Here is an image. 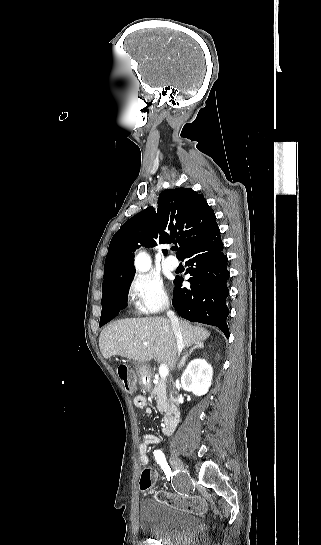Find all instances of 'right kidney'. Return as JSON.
I'll list each match as a JSON object with an SVG mask.
<instances>
[{"mask_svg":"<svg viewBox=\"0 0 321 545\" xmlns=\"http://www.w3.org/2000/svg\"><path fill=\"white\" fill-rule=\"evenodd\" d=\"M213 369L205 359H194L189 363L181 377V385L184 391L194 393L197 397L206 395L212 383Z\"/></svg>","mask_w":321,"mask_h":545,"instance_id":"1","label":"right kidney"}]
</instances>
